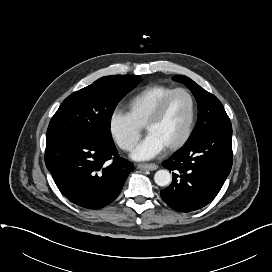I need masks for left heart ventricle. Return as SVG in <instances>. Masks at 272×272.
Returning a JSON list of instances; mask_svg holds the SVG:
<instances>
[{"label": "left heart ventricle", "mask_w": 272, "mask_h": 272, "mask_svg": "<svg viewBox=\"0 0 272 272\" xmlns=\"http://www.w3.org/2000/svg\"><path fill=\"white\" fill-rule=\"evenodd\" d=\"M190 112L191 105L188 97L179 93L171 99L161 119L150 126L147 132L154 134L167 148L185 133Z\"/></svg>", "instance_id": "left-heart-ventricle-1"}]
</instances>
